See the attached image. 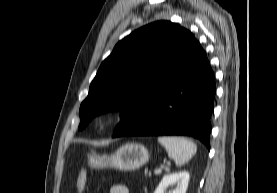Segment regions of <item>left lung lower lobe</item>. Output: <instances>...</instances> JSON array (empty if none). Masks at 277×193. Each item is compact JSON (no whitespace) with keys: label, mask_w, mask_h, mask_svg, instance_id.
I'll return each mask as SVG.
<instances>
[{"label":"left lung lower lobe","mask_w":277,"mask_h":193,"mask_svg":"<svg viewBox=\"0 0 277 193\" xmlns=\"http://www.w3.org/2000/svg\"><path fill=\"white\" fill-rule=\"evenodd\" d=\"M215 93L214 73L198 42L188 59L113 137L186 135L210 149Z\"/></svg>","instance_id":"1"}]
</instances>
